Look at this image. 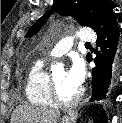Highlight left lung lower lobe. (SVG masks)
I'll use <instances>...</instances> for the list:
<instances>
[{"instance_id":"1","label":"left lung lower lobe","mask_w":122,"mask_h":123,"mask_svg":"<svg viewBox=\"0 0 122 123\" xmlns=\"http://www.w3.org/2000/svg\"><path fill=\"white\" fill-rule=\"evenodd\" d=\"M122 31V30H121ZM97 45L101 52H96L93 69L92 97L90 101H106L112 98L119 82L122 67V36L114 14H112L97 32ZM92 56H87L91 61Z\"/></svg>"}]
</instances>
